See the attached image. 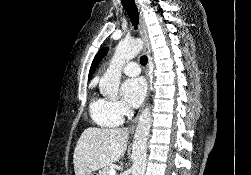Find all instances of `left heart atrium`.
Listing matches in <instances>:
<instances>
[{"label":"left heart atrium","instance_id":"obj_1","mask_svg":"<svg viewBox=\"0 0 251 175\" xmlns=\"http://www.w3.org/2000/svg\"><path fill=\"white\" fill-rule=\"evenodd\" d=\"M146 85L141 77H131L124 81L121 87L123 101L130 108H136L143 101Z\"/></svg>","mask_w":251,"mask_h":175}]
</instances>
